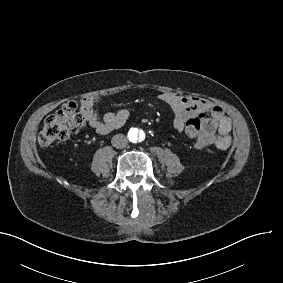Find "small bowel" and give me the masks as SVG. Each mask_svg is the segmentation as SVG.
<instances>
[{
  "mask_svg": "<svg viewBox=\"0 0 283 283\" xmlns=\"http://www.w3.org/2000/svg\"><path fill=\"white\" fill-rule=\"evenodd\" d=\"M158 98L171 109L177 131L182 132L181 123L187 117H194L203 123L206 135L202 140L194 141L193 147L196 150L209 146L226 150L231 146L232 121L219 105L204 97L176 95L171 92L160 93ZM100 101L98 96L85 97L80 101L81 112L89 126L102 135L124 126L130 117V111L120 109L101 117L97 109Z\"/></svg>",
  "mask_w": 283,
  "mask_h": 283,
  "instance_id": "c3829d8e",
  "label": "small bowel"
}]
</instances>
